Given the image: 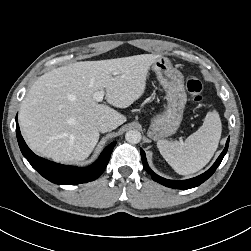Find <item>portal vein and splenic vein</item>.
Here are the masks:
<instances>
[{"label":"portal vein and splenic vein","mask_w":251,"mask_h":251,"mask_svg":"<svg viewBox=\"0 0 251 251\" xmlns=\"http://www.w3.org/2000/svg\"><path fill=\"white\" fill-rule=\"evenodd\" d=\"M103 97H104V91L103 90L94 93V99L97 102H101L103 100Z\"/></svg>","instance_id":"1"}]
</instances>
